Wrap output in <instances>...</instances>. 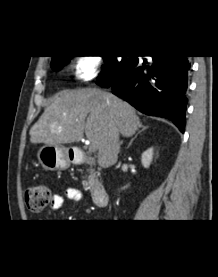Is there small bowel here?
Here are the masks:
<instances>
[{"mask_svg": "<svg viewBox=\"0 0 218 277\" xmlns=\"http://www.w3.org/2000/svg\"><path fill=\"white\" fill-rule=\"evenodd\" d=\"M78 201L84 200L82 192L74 187L67 188L63 194H55L50 205V213L60 210L65 203V200Z\"/></svg>", "mask_w": 218, "mask_h": 277, "instance_id": "c3829d8e", "label": "small bowel"}]
</instances>
